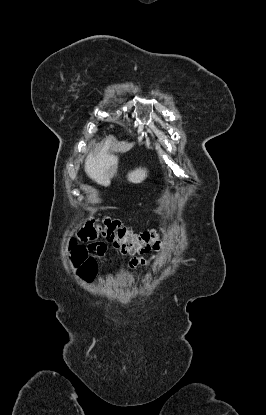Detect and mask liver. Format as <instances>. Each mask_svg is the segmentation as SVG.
Segmentation results:
<instances>
[{
  "instance_id": "liver-1",
  "label": "liver",
  "mask_w": 266,
  "mask_h": 415,
  "mask_svg": "<svg viewBox=\"0 0 266 415\" xmlns=\"http://www.w3.org/2000/svg\"><path fill=\"white\" fill-rule=\"evenodd\" d=\"M114 138L109 136L101 149V151L94 155L90 152L85 161V172L96 183L108 186L111 183V176L116 172L118 167V157L110 155L108 150L113 143ZM94 145L95 142H92ZM147 177V170L145 168H136L128 173L127 178L132 183H141Z\"/></svg>"
}]
</instances>
